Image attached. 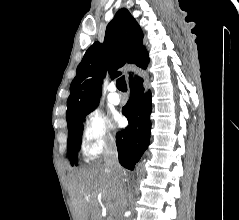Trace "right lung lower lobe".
<instances>
[{
    "label": "right lung lower lobe",
    "instance_id": "98d812e1",
    "mask_svg": "<svg viewBox=\"0 0 239 220\" xmlns=\"http://www.w3.org/2000/svg\"><path fill=\"white\" fill-rule=\"evenodd\" d=\"M130 76V99L122 108L129 125L116 134L119 162L125 168L134 169L150 141L152 110L151 93L144 94L143 79L134 82Z\"/></svg>",
    "mask_w": 239,
    "mask_h": 220
}]
</instances>
